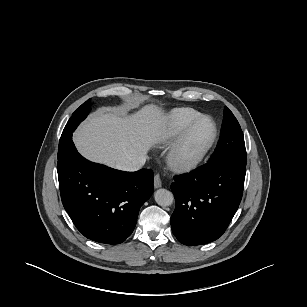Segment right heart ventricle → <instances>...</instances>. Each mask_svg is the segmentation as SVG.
<instances>
[{
  "mask_svg": "<svg viewBox=\"0 0 307 307\" xmlns=\"http://www.w3.org/2000/svg\"><path fill=\"white\" fill-rule=\"evenodd\" d=\"M201 115L198 111L187 107L171 111L167 115L160 133L159 144L161 146H167L172 143L191 121Z\"/></svg>",
  "mask_w": 307,
  "mask_h": 307,
  "instance_id": "right-heart-ventricle-1",
  "label": "right heart ventricle"
}]
</instances>
